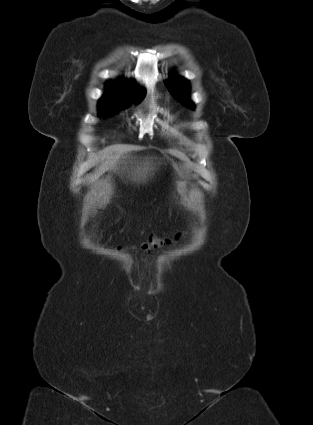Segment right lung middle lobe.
Returning <instances> with one entry per match:
<instances>
[{
  "instance_id": "dd1d6c3e",
  "label": "right lung middle lobe",
  "mask_w": 313,
  "mask_h": 425,
  "mask_svg": "<svg viewBox=\"0 0 313 425\" xmlns=\"http://www.w3.org/2000/svg\"><path fill=\"white\" fill-rule=\"evenodd\" d=\"M140 101L135 102V104H138ZM129 103H122L117 100H111L106 102H99L98 108H99V117H109L112 115H115L120 110H123L125 108H128Z\"/></svg>"
}]
</instances>
